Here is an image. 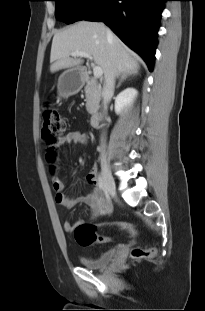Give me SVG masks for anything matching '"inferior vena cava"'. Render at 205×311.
I'll return each mask as SVG.
<instances>
[{"instance_id":"1","label":"inferior vena cava","mask_w":205,"mask_h":311,"mask_svg":"<svg viewBox=\"0 0 205 311\" xmlns=\"http://www.w3.org/2000/svg\"><path fill=\"white\" fill-rule=\"evenodd\" d=\"M107 36L111 37L112 32L110 30L107 31ZM115 76H116V70L111 69V71L105 76L103 91H102V97L104 103L110 99L114 94V85H115Z\"/></svg>"}]
</instances>
